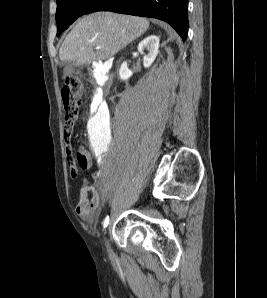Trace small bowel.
Segmentation results:
<instances>
[{
  "instance_id": "obj_1",
  "label": "small bowel",
  "mask_w": 267,
  "mask_h": 298,
  "mask_svg": "<svg viewBox=\"0 0 267 298\" xmlns=\"http://www.w3.org/2000/svg\"><path fill=\"white\" fill-rule=\"evenodd\" d=\"M110 195V192L99 194L94 187L85 185L80 190L76 212L84 221L95 223L98 211L107 202Z\"/></svg>"
}]
</instances>
